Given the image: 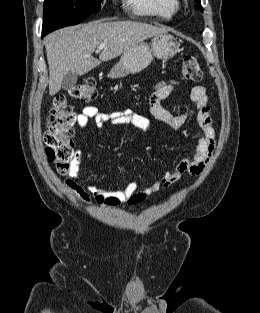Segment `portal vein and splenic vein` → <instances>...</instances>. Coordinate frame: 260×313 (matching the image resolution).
Segmentation results:
<instances>
[{"instance_id":"1","label":"portal vein and splenic vein","mask_w":260,"mask_h":313,"mask_svg":"<svg viewBox=\"0 0 260 313\" xmlns=\"http://www.w3.org/2000/svg\"><path fill=\"white\" fill-rule=\"evenodd\" d=\"M105 47V44H102L100 45L98 48H97V51L96 52H99L101 49H103Z\"/></svg>"}]
</instances>
